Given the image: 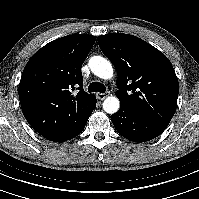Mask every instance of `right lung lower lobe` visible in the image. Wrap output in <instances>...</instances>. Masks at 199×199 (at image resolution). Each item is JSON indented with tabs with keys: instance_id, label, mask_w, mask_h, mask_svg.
I'll use <instances>...</instances> for the list:
<instances>
[{
	"instance_id": "98d812e1",
	"label": "right lung lower lobe",
	"mask_w": 199,
	"mask_h": 199,
	"mask_svg": "<svg viewBox=\"0 0 199 199\" xmlns=\"http://www.w3.org/2000/svg\"><path fill=\"white\" fill-rule=\"evenodd\" d=\"M96 107V100L95 103L92 105L91 109L89 110V112L87 113V115L85 116V118L83 120H81L76 126H74L73 128L64 131L60 134L57 135H53V136H47L45 137L46 139L50 140V141H54V142H64L66 140H70L76 136H78L84 129L88 118L90 117L92 111L95 109Z\"/></svg>"
}]
</instances>
